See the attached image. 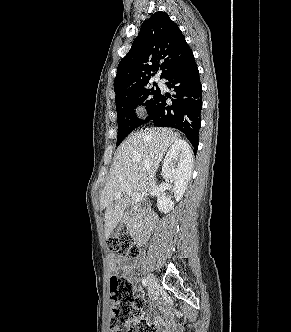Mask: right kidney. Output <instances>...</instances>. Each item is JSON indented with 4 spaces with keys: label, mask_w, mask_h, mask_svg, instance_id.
Wrapping results in <instances>:
<instances>
[{
    "label": "right kidney",
    "mask_w": 291,
    "mask_h": 332,
    "mask_svg": "<svg viewBox=\"0 0 291 332\" xmlns=\"http://www.w3.org/2000/svg\"><path fill=\"white\" fill-rule=\"evenodd\" d=\"M192 165L193 158L187 143L182 140L175 142L165 156L162 175L166 181L173 182L176 201H179L184 195L191 177ZM157 206L161 212L166 214L173 209L174 202L165 193H162L157 199Z\"/></svg>",
    "instance_id": "obj_1"
}]
</instances>
